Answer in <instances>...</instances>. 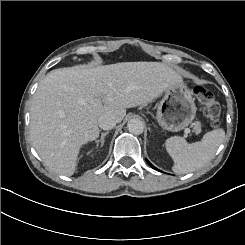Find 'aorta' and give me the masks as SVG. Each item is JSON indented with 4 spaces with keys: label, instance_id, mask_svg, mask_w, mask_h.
I'll use <instances>...</instances> for the list:
<instances>
[{
    "label": "aorta",
    "instance_id": "1",
    "mask_svg": "<svg viewBox=\"0 0 245 245\" xmlns=\"http://www.w3.org/2000/svg\"><path fill=\"white\" fill-rule=\"evenodd\" d=\"M127 129L134 135H140L144 130V124L139 119H131L127 123Z\"/></svg>",
    "mask_w": 245,
    "mask_h": 245
}]
</instances>
